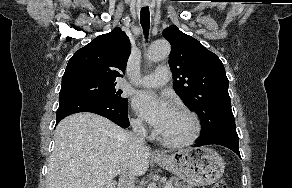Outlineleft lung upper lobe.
Returning a JSON list of instances; mask_svg holds the SVG:
<instances>
[{"mask_svg":"<svg viewBox=\"0 0 292 188\" xmlns=\"http://www.w3.org/2000/svg\"><path fill=\"white\" fill-rule=\"evenodd\" d=\"M163 36L171 44L169 66L173 72L174 90L199 116L201 134L235 122L229 82L218 56L175 25L166 28Z\"/></svg>","mask_w":292,"mask_h":188,"instance_id":"left-lung-upper-lobe-1","label":"left lung upper lobe"}]
</instances>
